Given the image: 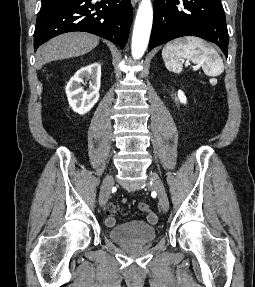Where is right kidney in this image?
<instances>
[{"label": "right kidney", "mask_w": 255, "mask_h": 287, "mask_svg": "<svg viewBox=\"0 0 255 287\" xmlns=\"http://www.w3.org/2000/svg\"><path fill=\"white\" fill-rule=\"evenodd\" d=\"M83 80H90V86L84 92L81 84ZM101 80V66L98 62L80 68L66 86L68 102L77 114H87L99 100Z\"/></svg>", "instance_id": "ca27d5eb"}]
</instances>
